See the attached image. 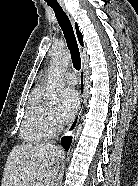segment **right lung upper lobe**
<instances>
[{"instance_id":"1","label":"right lung upper lobe","mask_w":138,"mask_h":186,"mask_svg":"<svg viewBox=\"0 0 138 186\" xmlns=\"http://www.w3.org/2000/svg\"><path fill=\"white\" fill-rule=\"evenodd\" d=\"M75 27H76V32H77L78 40H79L80 44L83 45V36H82V34L79 32V30H78V25H77V24H75Z\"/></svg>"}]
</instances>
